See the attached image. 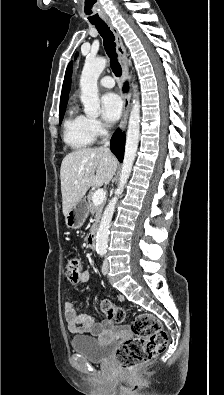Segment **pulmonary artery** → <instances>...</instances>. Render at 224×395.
Returning a JSON list of instances; mask_svg holds the SVG:
<instances>
[{"mask_svg":"<svg viewBox=\"0 0 224 395\" xmlns=\"http://www.w3.org/2000/svg\"><path fill=\"white\" fill-rule=\"evenodd\" d=\"M100 85L104 88H112L114 87L115 82L111 76H104L100 79Z\"/></svg>","mask_w":224,"mask_h":395,"instance_id":"1","label":"pulmonary artery"}]
</instances>
